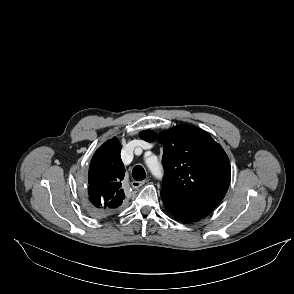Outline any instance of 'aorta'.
I'll return each instance as SVG.
<instances>
[{"mask_svg":"<svg viewBox=\"0 0 294 294\" xmlns=\"http://www.w3.org/2000/svg\"><path fill=\"white\" fill-rule=\"evenodd\" d=\"M146 164L149 167L151 173L155 177L160 178L162 176V167L158 163V161H157L156 158H154V160H152V157L151 158H147L146 159Z\"/></svg>","mask_w":294,"mask_h":294,"instance_id":"obj_1","label":"aorta"}]
</instances>
